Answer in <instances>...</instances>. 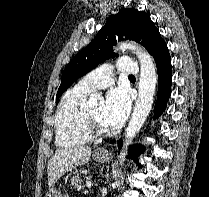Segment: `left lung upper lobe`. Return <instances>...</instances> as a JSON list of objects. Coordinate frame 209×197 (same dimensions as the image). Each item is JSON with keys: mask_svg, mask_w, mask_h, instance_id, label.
Wrapping results in <instances>:
<instances>
[{"mask_svg": "<svg viewBox=\"0 0 209 197\" xmlns=\"http://www.w3.org/2000/svg\"><path fill=\"white\" fill-rule=\"evenodd\" d=\"M123 39L141 43L151 55L164 42L147 13L134 8L121 9L119 13L109 17L91 43L66 66L62 73L56 102L79 77L91 71L105 59L114 58L116 54L112 53L113 45Z\"/></svg>", "mask_w": 209, "mask_h": 197, "instance_id": "5c2ea615", "label": "left lung upper lobe"}]
</instances>
